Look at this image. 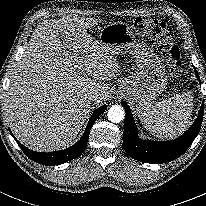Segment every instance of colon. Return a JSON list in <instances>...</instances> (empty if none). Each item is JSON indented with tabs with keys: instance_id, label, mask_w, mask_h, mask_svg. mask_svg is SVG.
I'll return each instance as SVG.
<instances>
[{
	"instance_id": "obj_1",
	"label": "colon",
	"mask_w": 206,
	"mask_h": 206,
	"mask_svg": "<svg viewBox=\"0 0 206 206\" xmlns=\"http://www.w3.org/2000/svg\"><path fill=\"white\" fill-rule=\"evenodd\" d=\"M132 27L137 35H146L155 40L161 58L169 72L173 76L181 75L180 50L173 41L167 20L155 17H139L133 21Z\"/></svg>"
}]
</instances>
